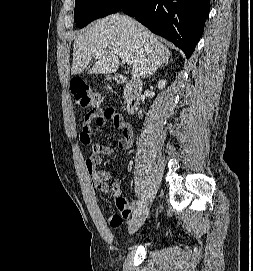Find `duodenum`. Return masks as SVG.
<instances>
[{"label":"duodenum","instance_id":"410a0bca","mask_svg":"<svg viewBox=\"0 0 253 271\" xmlns=\"http://www.w3.org/2000/svg\"><path fill=\"white\" fill-rule=\"evenodd\" d=\"M118 83L125 86V108L128 114H133L140 105L142 83L140 80H129L124 75H117Z\"/></svg>","mask_w":253,"mask_h":271}]
</instances>
